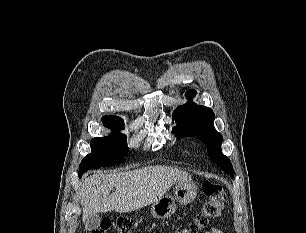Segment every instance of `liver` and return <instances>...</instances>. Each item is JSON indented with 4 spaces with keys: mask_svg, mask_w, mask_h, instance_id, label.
I'll return each mask as SVG.
<instances>
[{
    "mask_svg": "<svg viewBox=\"0 0 306 233\" xmlns=\"http://www.w3.org/2000/svg\"><path fill=\"white\" fill-rule=\"evenodd\" d=\"M182 180H192L182 170L167 166H149L128 172L96 173L81 183L80 200L83 220L109 211L132 212L153 204L171 186ZM115 187V192L110 191Z\"/></svg>",
    "mask_w": 306,
    "mask_h": 233,
    "instance_id": "6515ba94",
    "label": "liver"
}]
</instances>
